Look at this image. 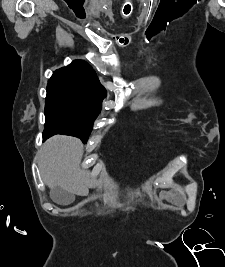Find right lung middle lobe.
<instances>
[{
  "instance_id": "dd1d6c3e",
  "label": "right lung middle lobe",
  "mask_w": 225,
  "mask_h": 267,
  "mask_svg": "<svg viewBox=\"0 0 225 267\" xmlns=\"http://www.w3.org/2000/svg\"><path fill=\"white\" fill-rule=\"evenodd\" d=\"M100 110L101 105L93 102L83 91L65 85L48 84L43 133L50 136L71 135L86 143Z\"/></svg>"
}]
</instances>
